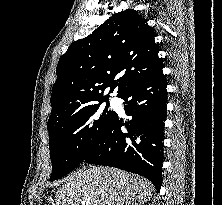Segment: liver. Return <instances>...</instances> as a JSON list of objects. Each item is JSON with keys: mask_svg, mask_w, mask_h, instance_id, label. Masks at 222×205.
<instances>
[{"mask_svg": "<svg viewBox=\"0 0 222 205\" xmlns=\"http://www.w3.org/2000/svg\"><path fill=\"white\" fill-rule=\"evenodd\" d=\"M154 186L141 176L115 168L93 167L67 177L56 192V205H143Z\"/></svg>", "mask_w": 222, "mask_h": 205, "instance_id": "1", "label": "liver"}]
</instances>
